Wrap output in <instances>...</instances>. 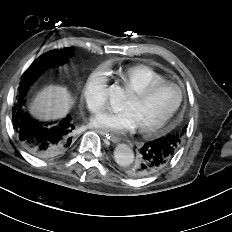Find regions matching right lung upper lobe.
Wrapping results in <instances>:
<instances>
[{
	"label": "right lung upper lobe",
	"instance_id": "1",
	"mask_svg": "<svg viewBox=\"0 0 232 232\" xmlns=\"http://www.w3.org/2000/svg\"><path fill=\"white\" fill-rule=\"evenodd\" d=\"M71 50H72V49H71ZM54 51L59 52V51H61V50H54ZM72 54H73V51H72ZM72 54H71V55H72ZM71 55H70V56H71ZM70 56H68V57H70ZM68 57L62 56L61 59L64 60V61H66V60L68 59Z\"/></svg>",
	"mask_w": 232,
	"mask_h": 232
}]
</instances>
